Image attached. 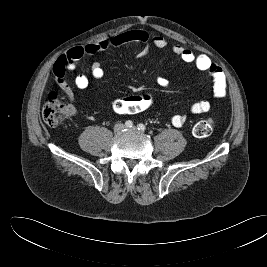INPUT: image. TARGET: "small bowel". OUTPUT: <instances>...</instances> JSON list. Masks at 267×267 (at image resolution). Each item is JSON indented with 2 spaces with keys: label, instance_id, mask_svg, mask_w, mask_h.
<instances>
[{
  "label": "small bowel",
  "instance_id": "small-bowel-1",
  "mask_svg": "<svg viewBox=\"0 0 267 267\" xmlns=\"http://www.w3.org/2000/svg\"><path fill=\"white\" fill-rule=\"evenodd\" d=\"M126 44H142L145 49L149 46L163 48L167 46V40L160 35H151L143 30H128L113 38L88 43L82 46H75L62 54L53 66V73L57 84L63 91L65 96L70 100H74V92L72 87L66 82L65 74L67 71H73L77 62L85 55H96L108 48L118 47ZM144 49V51H145ZM172 52L185 63L194 64L195 67L204 72H208L213 81V95L215 98H223L226 95V78L222 69L214 64L205 54H195L190 49L176 44L172 47ZM91 76L94 79H101L104 76V70L99 61H94L91 65ZM157 83L163 88H170V81L163 76L157 78ZM76 88L84 90L89 86V78L85 74H78L74 79ZM211 104L208 100H199L192 103L188 109L189 114H203L210 110ZM70 112L75 113V108L70 106ZM188 113H177L171 117V123L175 127H181L185 124Z\"/></svg>",
  "mask_w": 267,
  "mask_h": 267
}]
</instances>
